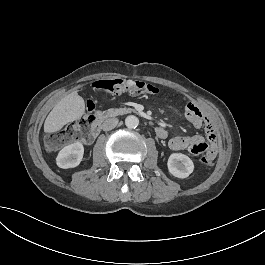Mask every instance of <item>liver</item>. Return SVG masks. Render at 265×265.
<instances>
[{"mask_svg": "<svg viewBox=\"0 0 265 265\" xmlns=\"http://www.w3.org/2000/svg\"><path fill=\"white\" fill-rule=\"evenodd\" d=\"M85 103L77 92H72L62 98L52 109L44 123V132L59 131L69 122H73L84 114Z\"/></svg>", "mask_w": 265, "mask_h": 265, "instance_id": "6515ba94", "label": "liver"}]
</instances>
